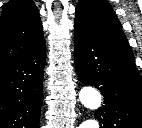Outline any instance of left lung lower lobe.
Listing matches in <instances>:
<instances>
[{
    "label": "left lung lower lobe",
    "instance_id": "left-lung-lower-lobe-1",
    "mask_svg": "<svg viewBox=\"0 0 142 128\" xmlns=\"http://www.w3.org/2000/svg\"><path fill=\"white\" fill-rule=\"evenodd\" d=\"M75 62L79 79L105 97L95 112L102 128H142V79L130 47L75 26Z\"/></svg>",
    "mask_w": 142,
    "mask_h": 128
}]
</instances>
